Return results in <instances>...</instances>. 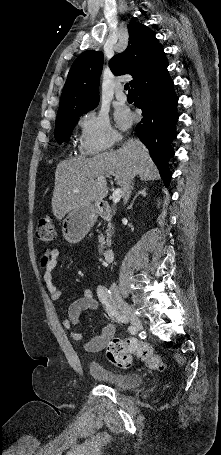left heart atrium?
Wrapping results in <instances>:
<instances>
[{"label": "left heart atrium", "instance_id": "obj_1", "mask_svg": "<svg viewBox=\"0 0 221 455\" xmlns=\"http://www.w3.org/2000/svg\"><path fill=\"white\" fill-rule=\"evenodd\" d=\"M116 118L121 126H127L131 122V114L126 110L118 111Z\"/></svg>", "mask_w": 221, "mask_h": 455}]
</instances>
